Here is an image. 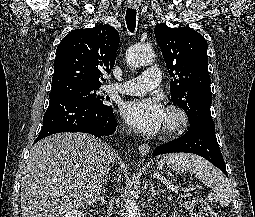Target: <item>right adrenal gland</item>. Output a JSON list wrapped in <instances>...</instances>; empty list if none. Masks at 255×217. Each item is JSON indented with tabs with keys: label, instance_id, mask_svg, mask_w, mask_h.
<instances>
[{
	"label": "right adrenal gland",
	"instance_id": "obj_1",
	"mask_svg": "<svg viewBox=\"0 0 255 217\" xmlns=\"http://www.w3.org/2000/svg\"><path fill=\"white\" fill-rule=\"evenodd\" d=\"M97 200L101 202V205H104V204H105V198H104V196H99V197L97 198Z\"/></svg>",
	"mask_w": 255,
	"mask_h": 217
}]
</instances>
